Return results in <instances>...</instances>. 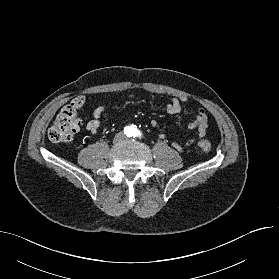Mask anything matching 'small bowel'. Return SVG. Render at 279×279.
<instances>
[{"mask_svg": "<svg viewBox=\"0 0 279 279\" xmlns=\"http://www.w3.org/2000/svg\"><path fill=\"white\" fill-rule=\"evenodd\" d=\"M186 100L187 99L185 97H179V98L172 99V101L169 104H167V106H166L167 113L176 114V113L181 112L182 108H183V103L186 102ZM106 108H107V104H103V105L98 106L94 110L93 118L90 121H88V123L86 124V129L89 132H91L93 134L98 133L100 126H101L100 119H101L103 113L105 112ZM151 125L153 127H155L157 125V122L153 120V121H151ZM207 128H208L207 114L203 108H199L196 112L195 120L188 125V129L195 131L197 136L201 138L206 135ZM193 142H194V140L190 139L185 143V145L189 146ZM172 145L179 151L183 150V146H181L179 144L173 143Z\"/></svg>", "mask_w": 279, "mask_h": 279, "instance_id": "1", "label": "small bowel"}]
</instances>
